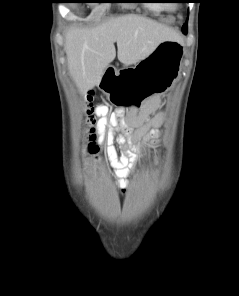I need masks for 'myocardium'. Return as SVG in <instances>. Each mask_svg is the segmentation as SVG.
<instances>
[{"label": "myocardium", "mask_w": 239, "mask_h": 296, "mask_svg": "<svg viewBox=\"0 0 239 296\" xmlns=\"http://www.w3.org/2000/svg\"><path fill=\"white\" fill-rule=\"evenodd\" d=\"M166 7L169 8V9H173L174 8L173 5H171V4H166Z\"/></svg>", "instance_id": "f54148a6"}]
</instances>
